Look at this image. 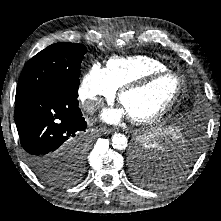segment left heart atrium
Segmentation results:
<instances>
[{"instance_id": "obj_1", "label": "left heart atrium", "mask_w": 221, "mask_h": 221, "mask_svg": "<svg viewBox=\"0 0 221 221\" xmlns=\"http://www.w3.org/2000/svg\"><path fill=\"white\" fill-rule=\"evenodd\" d=\"M127 116L126 112L122 107L105 109L102 112V118L108 123H118L122 118Z\"/></svg>"}]
</instances>
